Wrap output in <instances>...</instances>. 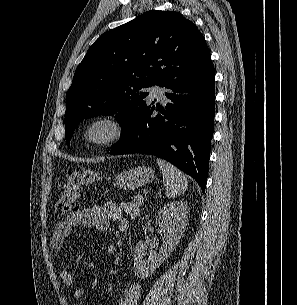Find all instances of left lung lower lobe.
I'll use <instances>...</instances> for the list:
<instances>
[{
    "label": "left lung lower lobe",
    "instance_id": "1",
    "mask_svg": "<svg viewBox=\"0 0 297 305\" xmlns=\"http://www.w3.org/2000/svg\"><path fill=\"white\" fill-rule=\"evenodd\" d=\"M214 79L212 64L197 73L170 77L162 85L170 101L165 106L149 101L110 154L140 152L165 159L194 178L204 193L215 115ZM154 111L159 112L155 117Z\"/></svg>",
    "mask_w": 297,
    "mask_h": 305
}]
</instances>
